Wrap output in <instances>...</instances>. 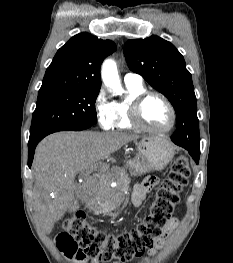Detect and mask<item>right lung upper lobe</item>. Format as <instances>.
Listing matches in <instances>:
<instances>
[{
	"label": "right lung upper lobe",
	"instance_id": "1",
	"mask_svg": "<svg viewBox=\"0 0 233 263\" xmlns=\"http://www.w3.org/2000/svg\"><path fill=\"white\" fill-rule=\"evenodd\" d=\"M116 45L89 33L72 37L47 68L38 95L67 89H100V66Z\"/></svg>",
	"mask_w": 233,
	"mask_h": 263
}]
</instances>
